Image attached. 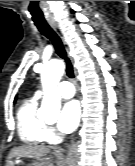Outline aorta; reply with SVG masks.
<instances>
[{
    "mask_svg": "<svg viewBox=\"0 0 135 166\" xmlns=\"http://www.w3.org/2000/svg\"><path fill=\"white\" fill-rule=\"evenodd\" d=\"M64 73V64L60 60H53L47 63L41 72L43 87V100L39 109V115L46 118L57 116L61 108V97L57 85Z\"/></svg>",
    "mask_w": 135,
    "mask_h": 166,
    "instance_id": "aorta-1",
    "label": "aorta"
}]
</instances>
